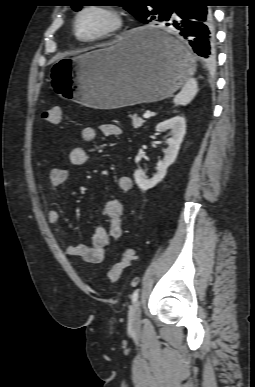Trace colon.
Here are the masks:
<instances>
[{
	"label": "colon",
	"mask_w": 255,
	"mask_h": 387,
	"mask_svg": "<svg viewBox=\"0 0 255 387\" xmlns=\"http://www.w3.org/2000/svg\"><path fill=\"white\" fill-rule=\"evenodd\" d=\"M42 117L45 121L58 125L63 119V109L61 106L54 105L42 114ZM134 258V249L131 246H128L122 250L120 253V259L114 265H112L107 271V279L110 283L117 282L124 270L130 265Z\"/></svg>",
	"instance_id": "obj_1"
}]
</instances>
